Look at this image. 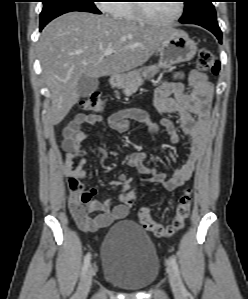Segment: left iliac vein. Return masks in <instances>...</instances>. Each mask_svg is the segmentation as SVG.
I'll list each match as a JSON object with an SVG mask.
<instances>
[{"label": "left iliac vein", "mask_w": 248, "mask_h": 299, "mask_svg": "<svg viewBox=\"0 0 248 299\" xmlns=\"http://www.w3.org/2000/svg\"><path fill=\"white\" fill-rule=\"evenodd\" d=\"M168 276H169V282H170L173 293L176 296H181L182 290H181L180 283L178 281V278H177L175 272L170 267L168 268Z\"/></svg>", "instance_id": "left-iliac-vein-1"}]
</instances>
